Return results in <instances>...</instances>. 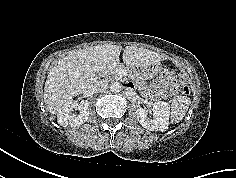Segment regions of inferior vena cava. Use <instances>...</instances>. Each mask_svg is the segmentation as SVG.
Masks as SVG:
<instances>
[{
    "instance_id": "1",
    "label": "inferior vena cava",
    "mask_w": 236,
    "mask_h": 178,
    "mask_svg": "<svg viewBox=\"0 0 236 178\" xmlns=\"http://www.w3.org/2000/svg\"><path fill=\"white\" fill-rule=\"evenodd\" d=\"M108 88V82L107 80H100L99 82H97L95 85L92 86L91 88V92L92 93H103L107 90Z\"/></svg>"
}]
</instances>
